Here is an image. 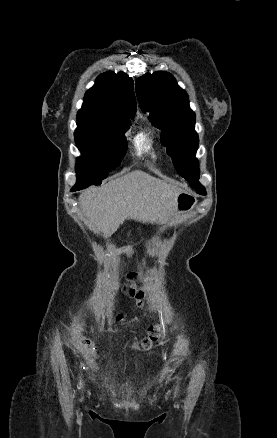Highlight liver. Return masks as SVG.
<instances>
[{"instance_id":"obj_1","label":"liver","mask_w":277,"mask_h":438,"mask_svg":"<svg viewBox=\"0 0 277 438\" xmlns=\"http://www.w3.org/2000/svg\"><path fill=\"white\" fill-rule=\"evenodd\" d=\"M181 192L180 188L136 170L101 188L84 190L79 204L88 228L110 238L125 220L165 224L172 214L174 198Z\"/></svg>"}]
</instances>
